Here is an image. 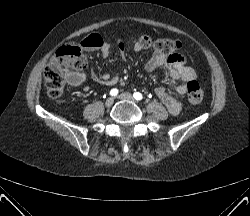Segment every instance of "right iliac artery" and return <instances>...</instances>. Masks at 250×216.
Instances as JSON below:
<instances>
[{"instance_id": "82829eb1", "label": "right iliac artery", "mask_w": 250, "mask_h": 216, "mask_svg": "<svg viewBox=\"0 0 250 216\" xmlns=\"http://www.w3.org/2000/svg\"><path fill=\"white\" fill-rule=\"evenodd\" d=\"M118 94V90L116 89V88H114V89H112L111 91H110V95L111 96H116Z\"/></svg>"}]
</instances>
